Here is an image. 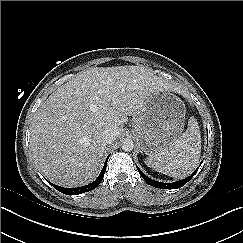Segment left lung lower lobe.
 <instances>
[{"label":"left lung lower lobe","mask_w":243,"mask_h":243,"mask_svg":"<svg viewBox=\"0 0 243 243\" xmlns=\"http://www.w3.org/2000/svg\"><path fill=\"white\" fill-rule=\"evenodd\" d=\"M140 175L142 176V178L151 186L156 187V188H160V189H176V188H180L183 185H185L189 180H191V178L194 176V174L198 171V169L192 173L190 176H188L185 179L176 181L174 183H162V182H158L155 180L150 179L149 177H147L145 174H143V172H141V170L137 167Z\"/></svg>","instance_id":"left-lung-lower-lobe-1"}]
</instances>
